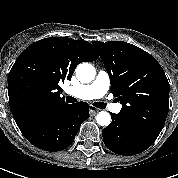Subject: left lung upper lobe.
I'll return each instance as SVG.
<instances>
[{"label": "left lung upper lobe", "instance_id": "left-lung-upper-lobe-1", "mask_svg": "<svg viewBox=\"0 0 178 178\" xmlns=\"http://www.w3.org/2000/svg\"><path fill=\"white\" fill-rule=\"evenodd\" d=\"M110 77L119 114L161 132L169 111V82L158 61L124 41L93 42Z\"/></svg>", "mask_w": 178, "mask_h": 178}]
</instances>
